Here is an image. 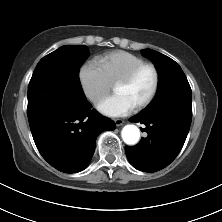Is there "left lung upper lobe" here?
Instances as JSON below:
<instances>
[{
    "label": "left lung upper lobe",
    "mask_w": 222,
    "mask_h": 222,
    "mask_svg": "<svg viewBox=\"0 0 222 222\" xmlns=\"http://www.w3.org/2000/svg\"><path fill=\"white\" fill-rule=\"evenodd\" d=\"M142 54L154 63L159 74L158 91L148 107L169 99L192 101L188 80L174 60L151 49L143 50Z\"/></svg>",
    "instance_id": "obj_1"
}]
</instances>
